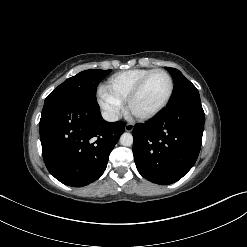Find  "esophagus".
Here are the masks:
<instances>
[{"label":"esophagus","mask_w":247,"mask_h":247,"mask_svg":"<svg viewBox=\"0 0 247 247\" xmlns=\"http://www.w3.org/2000/svg\"><path fill=\"white\" fill-rule=\"evenodd\" d=\"M133 128H134V126L131 123H127L125 125V131H127V132H131L133 130Z\"/></svg>","instance_id":"obj_1"}]
</instances>
